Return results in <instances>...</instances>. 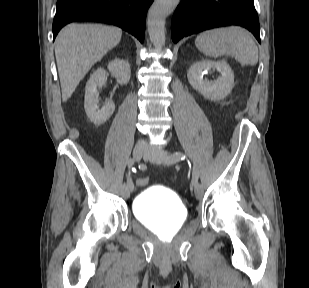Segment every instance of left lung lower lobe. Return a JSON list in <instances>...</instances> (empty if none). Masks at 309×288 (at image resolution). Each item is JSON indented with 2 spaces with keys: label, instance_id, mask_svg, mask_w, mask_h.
<instances>
[{
  "label": "left lung lower lobe",
  "instance_id": "obj_1",
  "mask_svg": "<svg viewBox=\"0 0 309 288\" xmlns=\"http://www.w3.org/2000/svg\"><path fill=\"white\" fill-rule=\"evenodd\" d=\"M239 25L260 43V27L253 0H181L172 19V39L177 42L214 27Z\"/></svg>",
  "mask_w": 309,
  "mask_h": 288
}]
</instances>
